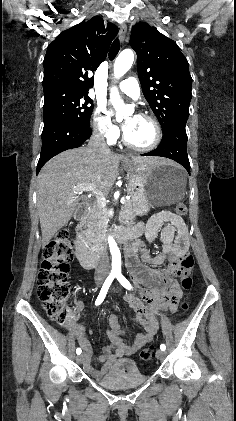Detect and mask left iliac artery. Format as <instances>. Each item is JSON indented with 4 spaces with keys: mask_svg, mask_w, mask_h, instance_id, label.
<instances>
[{
    "mask_svg": "<svg viewBox=\"0 0 236 421\" xmlns=\"http://www.w3.org/2000/svg\"><path fill=\"white\" fill-rule=\"evenodd\" d=\"M116 278L119 281V283L126 289L131 290L132 286L129 283V281L121 274V273H117L116 274ZM160 349L162 351H164L166 349V346L164 344L160 345Z\"/></svg>",
    "mask_w": 236,
    "mask_h": 421,
    "instance_id": "left-iliac-artery-1",
    "label": "left iliac artery"
}]
</instances>
